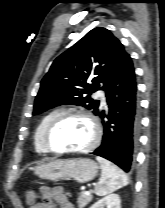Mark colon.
I'll return each mask as SVG.
<instances>
[{
	"label": "colon",
	"mask_w": 165,
	"mask_h": 208,
	"mask_svg": "<svg viewBox=\"0 0 165 208\" xmlns=\"http://www.w3.org/2000/svg\"><path fill=\"white\" fill-rule=\"evenodd\" d=\"M25 197L27 204L34 205L37 200V193L34 189L29 188L25 190Z\"/></svg>",
	"instance_id": "1"
}]
</instances>
